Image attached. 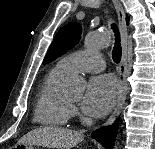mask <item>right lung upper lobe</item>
Listing matches in <instances>:
<instances>
[{
  "label": "right lung upper lobe",
  "instance_id": "obj_1",
  "mask_svg": "<svg viewBox=\"0 0 155 149\" xmlns=\"http://www.w3.org/2000/svg\"><path fill=\"white\" fill-rule=\"evenodd\" d=\"M126 21H127V23H128V21H129V17H128V16L126 17Z\"/></svg>",
  "mask_w": 155,
  "mask_h": 149
}]
</instances>
